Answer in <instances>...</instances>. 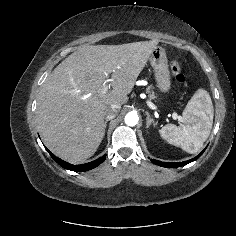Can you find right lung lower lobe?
Masks as SVG:
<instances>
[{
    "label": "right lung lower lobe",
    "mask_w": 236,
    "mask_h": 236,
    "mask_svg": "<svg viewBox=\"0 0 236 236\" xmlns=\"http://www.w3.org/2000/svg\"><path fill=\"white\" fill-rule=\"evenodd\" d=\"M47 151L49 152L50 156L60 165L62 166L64 169H67V170H72V171H79V172H82V171H88V170H91L95 167H97L98 165H100L104 160H105V157L106 155H103L102 157L92 161V162H89V163H86V164H81V165H72L70 163H67L63 160H61L60 158H57L54 154H52L48 149Z\"/></svg>",
    "instance_id": "right-lung-lower-lobe-1"
}]
</instances>
